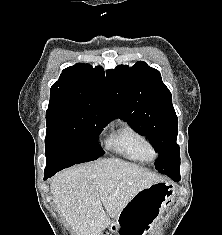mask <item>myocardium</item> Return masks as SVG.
<instances>
[{
  "label": "myocardium",
  "instance_id": "myocardium-1",
  "mask_svg": "<svg viewBox=\"0 0 222 235\" xmlns=\"http://www.w3.org/2000/svg\"><path fill=\"white\" fill-rule=\"evenodd\" d=\"M157 157V153L155 152V150L152 153V159H155Z\"/></svg>",
  "mask_w": 222,
  "mask_h": 235
}]
</instances>
